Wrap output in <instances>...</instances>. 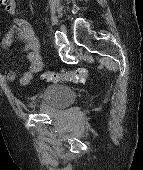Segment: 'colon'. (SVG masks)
<instances>
[{"label": "colon", "instance_id": "colon-1", "mask_svg": "<svg viewBox=\"0 0 143 170\" xmlns=\"http://www.w3.org/2000/svg\"><path fill=\"white\" fill-rule=\"evenodd\" d=\"M5 3V0H0V5ZM88 69L84 66H80L74 70H68L63 72L48 71L42 74V78L50 81H68L74 83H84L88 78Z\"/></svg>", "mask_w": 143, "mask_h": 170}]
</instances>
